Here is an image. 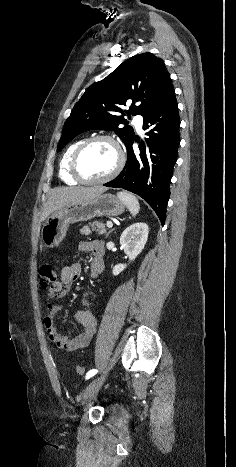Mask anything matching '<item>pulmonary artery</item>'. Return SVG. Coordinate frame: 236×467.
I'll return each instance as SVG.
<instances>
[{
	"mask_svg": "<svg viewBox=\"0 0 236 467\" xmlns=\"http://www.w3.org/2000/svg\"><path fill=\"white\" fill-rule=\"evenodd\" d=\"M135 127L138 131H141L143 125V117L142 115H136L133 119Z\"/></svg>",
	"mask_w": 236,
	"mask_h": 467,
	"instance_id": "e3ab8cb5",
	"label": "pulmonary artery"
}]
</instances>
